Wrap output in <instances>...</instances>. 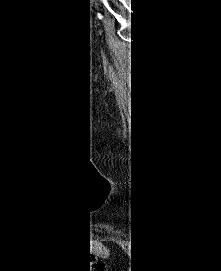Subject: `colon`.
Returning a JSON list of instances; mask_svg holds the SVG:
<instances>
[{
	"instance_id": "obj_1",
	"label": "colon",
	"mask_w": 221,
	"mask_h": 271,
	"mask_svg": "<svg viewBox=\"0 0 221 271\" xmlns=\"http://www.w3.org/2000/svg\"><path fill=\"white\" fill-rule=\"evenodd\" d=\"M86 265V267L84 266ZM79 271H105L102 263L97 262L94 258L80 256L78 260Z\"/></svg>"
}]
</instances>
